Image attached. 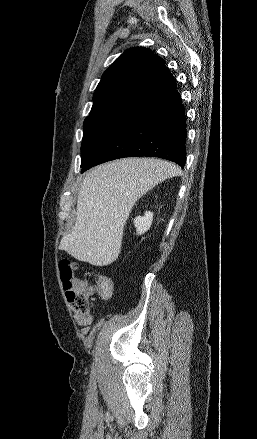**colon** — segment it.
I'll return each instance as SVG.
<instances>
[{
    "label": "colon",
    "mask_w": 257,
    "mask_h": 439,
    "mask_svg": "<svg viewBox=\"0 0 257 439\" xmlns=\"http://www.w3.org/2000/svg\"><path fill=\"white\" fill-rule=\"evenodd\" d=\"M59 268L67 301L76 314L88 315L89 298L94 293L101 297L109 296L112 293L113 285L110 278L99 275L94 285H88L76 274L77 265L69 258H62Z\"/></svg>",
    "instance_id": "obj_1"
}]
</instances>
